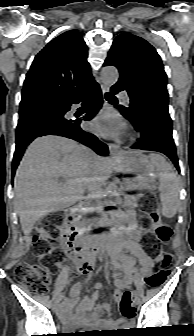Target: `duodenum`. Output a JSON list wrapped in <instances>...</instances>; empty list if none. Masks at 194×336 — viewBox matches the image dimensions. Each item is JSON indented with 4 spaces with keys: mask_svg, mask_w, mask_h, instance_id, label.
I'll return each instance as SVG.
<instances>
[{
    "mask_svg": "<svg viewBox=\"0 0 194 336\" xmlns=\"http://www.w3.org/2000/svg\"><path fill=\"white\" fill-rule=\"evenodd\" d=\"M87 209L84 202H79L69 208L63 224L64 241L63 251L75 263H83L92 266L93 256L80 235L79 222L83 212ZM95 240V237H91Z\"/></svg>",
    "mask_w": 194,
    "mask_h": 336,
    "instance_id": "1",
    "label": "duodenum"
}]
</instances>
